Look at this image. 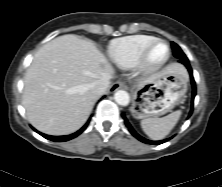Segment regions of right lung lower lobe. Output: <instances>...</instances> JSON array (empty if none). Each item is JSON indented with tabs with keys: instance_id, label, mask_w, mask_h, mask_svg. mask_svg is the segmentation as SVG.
Returning a JSON list of instances; mask_svg holds the SVG:
<instances>
[{
	"instance_id": "right-lung-lower-lobe-1",
	"label": "right lung lower lobe",
	"mask_w": 222,
	"mask_h": 187,
	"mask_svg": "<svg viewBox=\"0 0 222 187\" xmlns=\"http://www.w3.org/2000/svg\"><path fill=\"white\" fill-rule=\"evenodd\" d=\"M88 124H89V120L80 130H78L77 132H75L71 135H67V136H50V135L40 133L35 129L34 130L46 139H49V140L55 141V142H64V141H68L70 139L77 137L80 133H82L85 130V128L87 127Z\"/></svg>"
}]
</instances>
